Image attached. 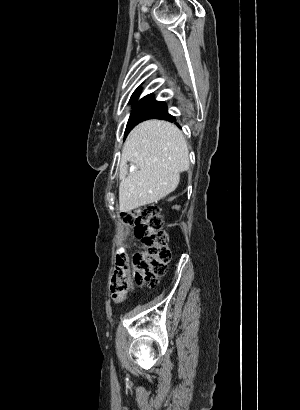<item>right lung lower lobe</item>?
Segmentation results:
<instances>
[{
	"label": "right lung lower lobe",
	"instance_id": "98d812e1",
	"mask_svg": "<svg viewBox=\"0 0 300 410\" xmlns=\"http://www.w3.org/2000/svg\"><path fill=\"white\" fill-rule=\"evenodd\" d=\"M153 118H157V119H165V120H169V121H175V118L173 116H171L170 114L167 113V109L155 114L153 116L148 117L147 119H153ZM146 120V119H145Z\"/></svg>",
	"mask_w": 300,
	"mask_h": 410
}]
</instances>
